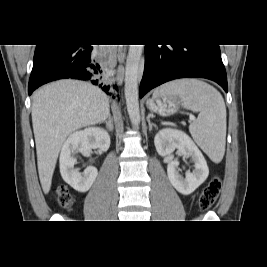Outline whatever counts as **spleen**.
I'll use <instances>...</instances> for the list:
<instances>
[{
    "label": "spleen",
    "instance_id": "spleen-1",
    "mask_svg": "<svg viewBox=\"0 0 267 267\" xmlns=\"http://www.w3.org/2000/svg\"><path fill=\"white\" fill-rule=\"evenodd\" d=\"M168 94L178 95L185 108L199 112L189 131L213 162H221L226 144V107L220 92L198 79H179L156 89L153 97Z\"/></svg>",
    "mask_w": 267,
    "mask_h": 267
}]
</instances>
